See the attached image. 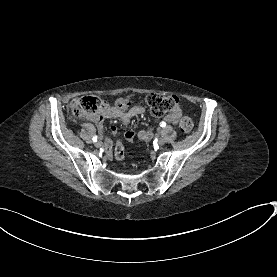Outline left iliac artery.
I'll use <instances>...</instances> for the list:
<instances>
[{"instance_id": "left-iliac-artery-1", "label": "left iliac artery", "mask_w": 277, "mask_h": 277, "mask_svg": "<svg viewBox=\"0 0 277 277\" xmlns=\"http://www.w3.org/2000/svg\"><path fill=\"white\" fill-rule=\"evenodd\" d=\"M160 126H161V127H165V126H166V123H165L164 121H162V122L160 123Z\"/></svg>"}]
</instances>
